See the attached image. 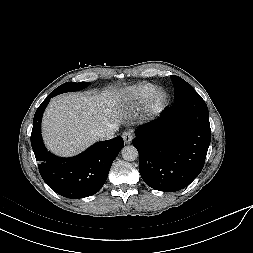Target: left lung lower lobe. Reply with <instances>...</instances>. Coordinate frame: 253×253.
<instances>
[{
  "label": "left lung lower lobe",
  "mask_w": 253,
  "mask_h": 253,
  "mask_svg": "<svg viewBox=\"0 0 253 253\" xmlns=\"http://www.w3.org/2000/svg\"><path fill=\"white\" fill-rule=\"evenodd\" d=\"M135 135L144 182L159 191L181 190L204 166L211 140L207 105L199 94L184 99L139 126Z\"/></svg>",
  "instance_id": "obj_1"
}]
</instances>
